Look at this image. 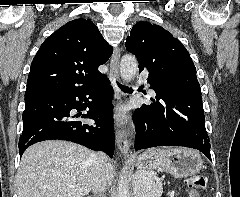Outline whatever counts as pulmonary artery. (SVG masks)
Instances as JSON below:
<instances>
[{
    "label": "pulmonary artery",
    "mask_w": 240,
    "mask_h": 197,
    "mask_svg": "<svg viewBox=\"0 0 240 197\" xmlns=\"http://www.w3.org/2000/svg\"><path fill=\"white\" fill-rule=\"evenodd\" d=\"M147 89H148V91H149L151 94L154 93L153 90L149 88V85H147Z\"/></svg>",
    "instance_id": "e3ab8cb5"
}]
</instances>
